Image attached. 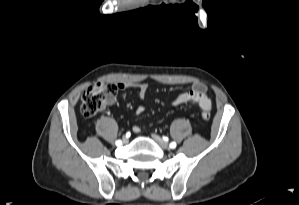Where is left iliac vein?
Returning <instances> with one entry per match:
<instances>
[{"label": "left iliac vein", "mask_w": 299, "mask_h": 205, "mask_svg": "<svg viewBox=\"0 0 299 205\" xmlns=\"http://www.w3.org/2000/svg\"><path fill=\"white\" fill-rule=\"evenodd\" d=\"M152 138L154 141L162 148V149H168L169 145L166 141H164L160 136L156 134H152Z\"/></svg>", "instance_id": "left-iliac-vein-1"}]
</instances>
